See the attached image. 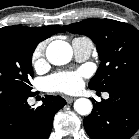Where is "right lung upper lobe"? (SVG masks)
<instances>
[{
  "label": "right lung upper lobe",
  "instance_id": "1",
  "mask_svg": "<svg viewBox=\"0 0 139 139\" xmlns=\"http://www.w3.org/2000/svg\"><path fill=\"white\" fill-rule=\"evenodd\" d=\"M58 32H65V30L55 25L44 27L9 26L0 29V35H16L34 40L37 43L49 38L50 36Z\"/></svg>",
  "mask_w": 139,
  "mask_h": 139
}]
</instances>
